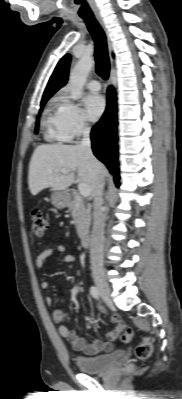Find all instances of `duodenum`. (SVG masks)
<instances>
[{
	"mask_svg": "<svg viewBox=\"0 0 182 399\" xmlns=\"http://www.w3.org/2000/svg\"><path fill=\"white\" fill-rule=\"evenodd\" d=\"M81 240H82V246L83 247H89L90 245V234L85 232L82 234L81 236Z\"/></svg>",
	"mask_w": 182,
	"mask_h": 399,
	"instance_id": "410a0bca",
	"label": "duodenum"
}]
</instances>
